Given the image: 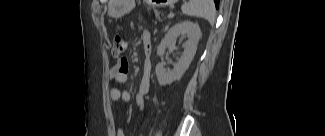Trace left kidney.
Instances as JSON below:
<instances>
[{
	"mask_svg": "<svg viewBox=\"0 0 325 136\" xmlns=\"http://www.w3.org/2000/svg\"><path fill=\"white\" fill-rule=\"evenodd\" d=\"M180 33L185 34L188 40L183 44L184 52L178 63L174 66L173 70L166 69L163 63H158L156 65L155 72L158 83L161 86H165L179 80L189 68L196 54L197 44L201 35L200 27L196 23L183 21L173 25L169 29L157 48V55L159 57H163L166 48L176 40Z\"/></svg>",
	"mask_w": 325,
	"mask_h": 136,
	"instance_id": "5707ae66",
	"label": "left kidney"
}]
</instances>
